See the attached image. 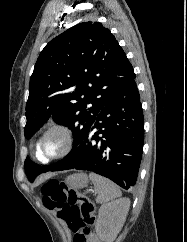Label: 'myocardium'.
Here are the masks:
<instances>
[{
  "label": "myocardium",
  "instance_id": "f54148a6",
  "mask_svg": "<svg viewBox=\"0 0 187 242\" xmlns=\"http://www.w3.org/2000/svg\"><path fill=\"white\" fill-rule=\"evenodd\" d=\"M51 133H58L62 136L64 144L62 150L52 156H47L42 151V143L44 139ZM74 145V136L72 130L64 124H53L48 127L37 141L36 150L43 161L48 162L65 157L70 153Z\"/></svg>",
  "mask_w": 187,
  "mask_h": 242
}]
</instances>
